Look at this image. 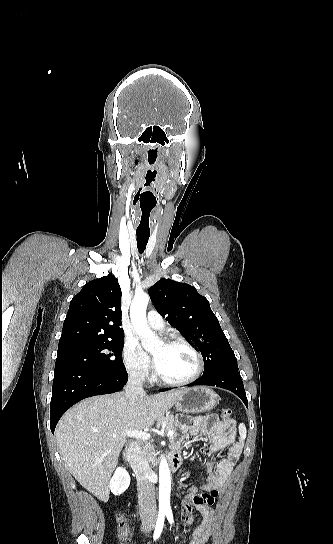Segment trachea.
<instances>
[{
    "instance_id": "trachea-1",
    "label": "trachea",
    "mask_w": 333,
    "mask_h": 544,
    "mask_svg": "<svg viewBox=\"0 0 333 544\" xmlns=\"http://www.w3.org/2000/svg\"><path fill=\"white\" fill-rule=\"evenodd\" d=\"M137 234V248L140 254H142L148 243L150 233H136Z\"/></svg>"
}]
</instances>
